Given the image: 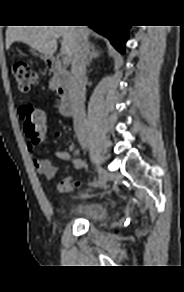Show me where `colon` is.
<instances>
[{
  "mask_svg": "<svg viewBox=\"0 0 184 292\" xmlns=\"http://www.w3.org/2000/svg\"><path fill=\"white\" fill-rule=\"evenodd\" d=\"M12 73L17 82V87L21 92H27L37 83L38 75L34 68L25 61H16L12 64ZM24 131L28 139L34 146L40 144L46 134V118L42 110L31 104L23 105L19 110ZM73 187L78 183L73 182Z\"/></svg>",
  "mask_w": 184,
  "mask_h": 292,
  "instance_id": "1",
  "label": "colon"
}]
</instances>
